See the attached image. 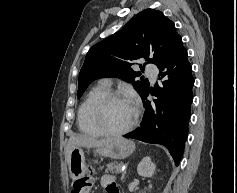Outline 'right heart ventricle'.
Returning <instances> with one entry per match:
<instances>
[{
    "mask_svg": "<svg viewBox=\"0 0 237 193\" xmlns=\"http://www.w3.org/2000/svg\"><path fill=\"white\" fill-rule=\"evenodd\" d=\"M107 91L108 87L104 84L94 87L80 104L77 114V125L81 133L92 137L102 136L92 124L90 113L94 102Z\"/></svg>",
    "mask_w": 237,
    "mask_h": 193,
    "instance_id": "obj_1",
    "label": "right heart ventricle"
}]
</instances>
